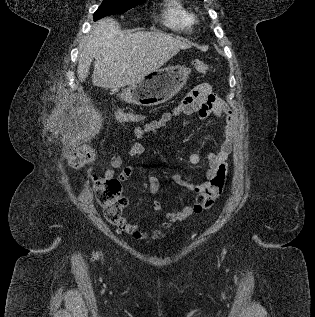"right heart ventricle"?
<instances>
[{"label": "right heart ventricle", "instance_id": "obj_1", "mask_svg": "<svg viewBox=\"0 0 315 317\" xmlns=\"http://www.w3.org/2000/svg\"><path fill=\"white\" fill-rule=\"evenodd\" d=\"M162 16L164 23L176 30L192 29L196 23L195 14L181 0H165Z\"/></svg>", "mask_w": 315, "mask_h": 317}]
</instances>
